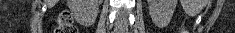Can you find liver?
<instances>
[{"label":"liver","instance_id":"liver-1","mask_svg":"<svg viewBox=\"0 0 235 33\" xmlns=\"http://www.w3.org/2000/svg\"><path fill=\"white\" fill-rule=\"evenodd\" d=\"M57 0L55 2H52L51 0H46V3L48 4L49 7L53 6L54 3H56Z\"/></svg>","mask_w":235,"mask_h":33}]
</instances>
